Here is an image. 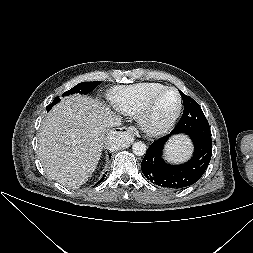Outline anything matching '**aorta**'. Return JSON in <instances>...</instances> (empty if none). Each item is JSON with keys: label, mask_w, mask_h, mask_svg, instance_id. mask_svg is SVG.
Wrapping results in <instances>:
<instances>
[{"label": "aorta", "mask_w": 253, "mask_h": 253, "mask_svg": "<svg viewBox=\"0 0 253 253\" xmlns=\"http://www.w3.org/2000/svg\"><path fill=\"white\" fill-rule=\"evenodd\" d=\"M133 153L137 156H143L146 153L147 147L143 142H135L132 146Z\"/></svg>", "instance_id": "obj_1"}]
</instances>
